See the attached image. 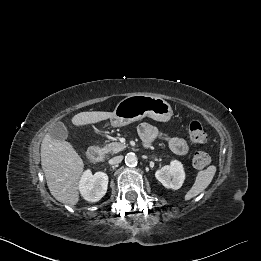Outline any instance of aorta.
Wrapping results in <instances>:
<instances>
[{
  "mask_svg": "<svg viewBox=\"0 0 261 261\" xmlns=\"http://www.w3.org/2000/svg\"><path fill=\"white\" fill-rule=\"evenodd\" d=\"M125 163L127 166H130V167L136 166L137 165V156L132 152L127 153L125 156Z\"/></svg>",
  "mask_w": 261,
  "mask_h": 261,
  "instance_id": "aorta-1",
  "label": "aorta"
}]
</instances>
